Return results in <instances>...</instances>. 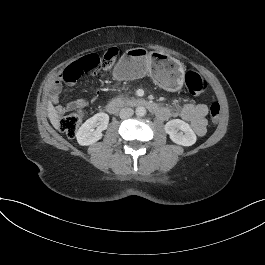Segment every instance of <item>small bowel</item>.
Returning <instances> with one entry per match:
<instances>
[{"label": "small bowel", "instance_id": "obj_1", "mask_svg": "<svg viewBox=\"0 0 265 265\" xmlns=\"http://www.w3.org/2000/svg\"><path fill=\"white\" fill-rule=\"evenodd\" d=\"M60 84L54 83L50 88V99L53 103L57 104L59 100ZM87 105V101L82 98H78L68 102L65 105L57 104L54 108V115L59 116L66 112L76 109L84 108ZM165 113L160 117L161 120H167L169 118H181L191 124V127L197 136H203L206 133V115L208 113V107L203 103H186L179 109H173L163 107Z\"/></svg>", "mask_w": 265, "mask_h": 265}]
</instances>
